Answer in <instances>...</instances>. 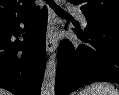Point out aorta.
I'll use <instances>...</instances> for the list:
<instances>
[{
    "mask_svg": "<svg viewBox=\"0 0 119 95\" xmlns=\"http://www.w3.org/2000/svg\"><path fill=\"white\" fill-rule=\"evenodd\" d=\"M56 71L57 60L55 54H53L46 64L41 86V95H55Z\"/></svg>",
    "mask_w": 119,
    "mask_h": 95,
    "instance_id": "aorta-1",
    "label": "aorta"
}]
</instances>
